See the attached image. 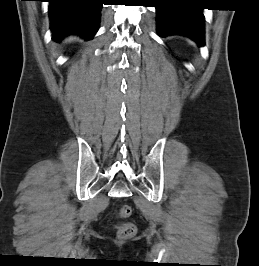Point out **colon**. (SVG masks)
I'll list each match as a JSON object with an SVG mask.
<instances>
[{"mask_svg": "<svg viewBox=\"0 0 259 266\" xmlns=\"http://www.w3.org/2000/svg\"><path fill=\"white\" fill-rule=\"evenodd\" d=\"M132 214V209L129 205L123 204L117 208V215L120 218H128ZM117 235L121 239H129L136 233V227L131 222H122L116 226Z\"/></svg>", "mask_w": 259, "mask_h": 266, "instance_id": "5ec220e1", "label": "colon"}]
</instances>
